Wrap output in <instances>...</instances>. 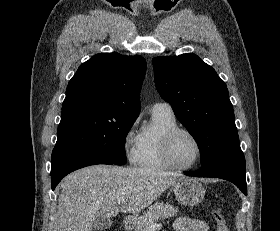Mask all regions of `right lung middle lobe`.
<instances>
[{
    "label": "right lung middle lobe",
    "mask_w": 280,
    "mask_h": 231,
    "mask_svg": "<svg viewBox=\"0 0 280 231\" xmlns=\"http://www.w3.org/2000/svg\"><path fill=\"white\" fill-rule=\"evenodd\" d=\"M134 121L135 119L120 117L61 120L54 150H76L124 165L125 139Z\"/></svg>",
    "instance_id": "obj_1"
}]
</instances>
